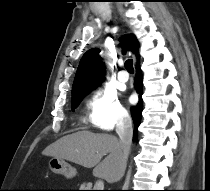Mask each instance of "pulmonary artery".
Listing matches in <instances>:
<instances>
[{"instance_id": "pulmonary-artery-1", "label": "pulmonary artery", "mask_w": 210, "mask_h": 191, "mask_svg": "<svg viewBox=\"0 0 210 191\" xmlns=\"http://www.w3.org/2000/svg\"><path fill=\"white\" fill-rule=\"evenodd\" d=\"M128 79H129V75H128V73L126 71H120L118 73V80L120 82H127Z\"/></svg>"}]
</instances>
